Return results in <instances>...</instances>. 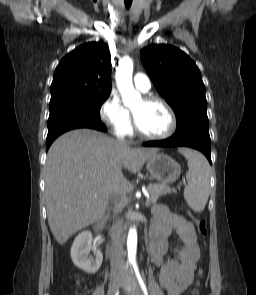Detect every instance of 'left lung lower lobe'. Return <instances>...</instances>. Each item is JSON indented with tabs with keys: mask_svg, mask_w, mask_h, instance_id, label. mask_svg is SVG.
Instances as JSON below:
<instances>
[{
	"mask_svg": "<svg viewBox=\"0 0 256 295\" xmlns=\"http://www.w3.org/2000/svg\"><path fill=\"white\" fill-rule=\"evenodd\" d=\"M147 147H178L185 146L191 147L201 151L211 162L210 147L211 140L209 131H202L197 129L186 130L179 134H174V136L160 141H151L144 143Z\"/></svg>",
	"mask_w": 256,
	"mask_h": 295,
	"instance_id": "left-lung-lower-lobe-1",
	"label": "left lung lower lobe"
}]
</instances>
